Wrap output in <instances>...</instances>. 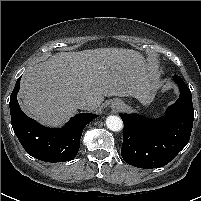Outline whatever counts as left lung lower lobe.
<instances>
[{
    "instance_id": "1",
    "label": "left lung lower lobe",
    "mask_w": 201,
    "mask_h": 201,
    "mask_svg": "<svg viewBox=\"0 0 201 201\" xmlns=\"http://www.w3.org/2000/svg\"><path fill=\"white\" fill-rule=\"evenodd\" d=\"M180 96L160 119L138 114H120L124 123L121 155L130 165L153 169L163 167L187 145L194 119L192 96L185 82L173 77Z\"/></svg>"
}]
</instances>
